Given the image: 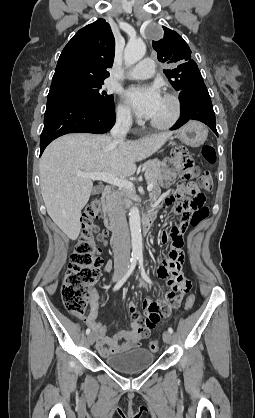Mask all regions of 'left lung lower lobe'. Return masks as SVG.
I'll return each mask as SVG.
<instances>
[{"instance_id":"1","label":"left lung lower lobe","mask_w":255,"mask_h":418,"mask_svg":"<svg viewBox=\"0 0 255 418\" xmlns=\"http://www.w3.org/2000/svg\"><path fill=\"white\" fill-rule=\"evenodd\" d=\"M180 118L171 128H180L189 120H198L205 123L216 135L215 113L212 102L204 82H199L180 92Z\"/></svg>"}]
</instances>
